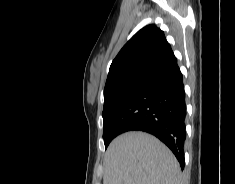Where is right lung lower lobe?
I'll return each instance as SVG.
<instances>
[{
	"mask_svg": "<svg viewBox=\"0 0 235 184\" xmlns=\"http://www.w3.org/2000/svg\"><path fill=\"white\" fill-rule=\"evenodd\" d=\"M185 91L183 76L173 55L143 77L121 104L110 127L117 136L144 131L165 143L184 168Z\"/></svg>",
	"mask_w": 235,
	"mask_h": 184,
	"instance_id": "right-lung-lower-lobe-1",
	"label": "right lung lower lobe"
}]
</instances>
